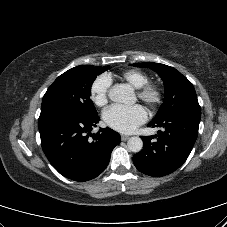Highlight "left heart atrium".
I'll return each instance as SVG.
<instances>
[{
	"mask_svg": "<svg viewBox=\"0 0 227 227\" xmlns=\"http://www.w3.org/2000/svg\"><path fill=\"white\" fill-rule=\"evenodd\" d=\"M147 119V113L141 105H112L103 112V120L110 128L131 133Z\"/></svg>",
	"mask_w": 227,
	"mask_h": 227,
	"instance_id": "1",
	"label": "left heart atrium"
}]
</instances>
